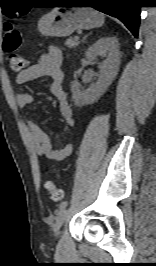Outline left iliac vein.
I'll return each mask as SVG.
<instances>
[{
    "label": "left iliac vein",
    "instance_id": "1",
    "mask_svg": "<svg viewBox=\"0 0 156 266\" xmlns=\"http://www.w3.org/2000/svg\"><path fill=\"white\" fill-rule=\"evenodd\" d=\"M67 215H68V211L65 208L62 209L58 213L57 218H56V221H55V223L53 225V230H54L56 236H58L60 228L62 227V225L66 221Z\"/></svg>",
    "mask_w": 156,
    "mask_h": 266
}]
</instances>
